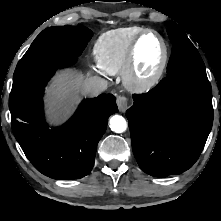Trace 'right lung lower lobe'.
Returning <instances> with one entry per match:
<instances>
[{
	"mask_svg": "<svg viewBox=\"0 0 221 221\" xmlns=\"http://www.w3.org/2000/svg\"><path fill=\"white\" fill-rule=\"evenodd\" d=\"M43 93L41 90L10 109L16 140L34 167L48 177L79 179L88 175L108 117L118 112L115 96L101 94L84 100L66 124L50 130L44 120Z\"/></svg>",
	"mask_w": 221,
	"mask_h": 221,
	"instance_id": "obj_1",
	"label": "right lung lower lobe"
}]
</instances>
